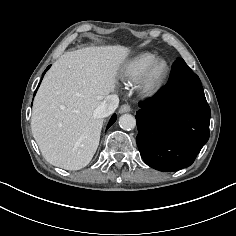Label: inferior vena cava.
<instances>
[{
    "label": "inferior vena cava",
    "mask_w": 236,
    "mask_h": 236,
    "mask_svg": "<svg viewBox=\"0 0 236 236\" xmlns=\"http://www.w3.org/2000/svg\"><path fill=\"white\" fill-rule=\"evenodd\" d=\"M119 104V97L115 94L108 95L99 105L97 113L100 117L105 118L114 113Z\"/></svg>",
    "instance_id": "obj_1"
}]
</instances>
